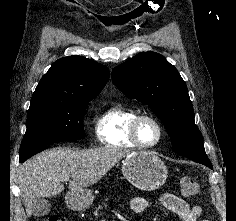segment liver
I'll return each mask as SVG.
<instances>
[{
  "label": "liver",
  "instance_id": "1",
  "mask_svg": "<svg viewBox=\"0 0 236 221\" xmlns=\"http://www.w3.org/2000/svg\"><path fill=\"white\" fill-rule=\"evenodd\" d=\"M130 150L101 147L86 150L53 148L46 150L19 167V188L27 216L32 215L36 198L59 195L62 182L69 178V192H77L99 181Z\"/></svg>",
  "mask_w": 236,
  "mask_h": 221
}]
</instances>
